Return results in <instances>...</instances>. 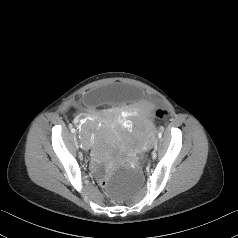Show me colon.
I'll return each instance as SVG.
<instances>
[{
    "mask_svg": "<svg viewBox=\"0 0 238 238\" xmlns=\"http://www.w3.org/2000/svg\"><path fill=\"white\" fill-rule=\"evenodd\" d=\"M157 117L159 118H164L166 116V112L164 110H158L156 112ZM109 184H110V179L108 177H102L99 181H98V186L102 189V190H107L109 188Z\"/></svg>",
    "mask_w": 238,
    "mask_h": 238,
    "instance_id": "1",
    "label": "colon"
}]
</instances>
